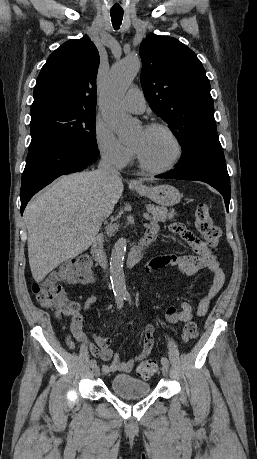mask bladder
Segmentation results:
<instances>
[{"mask_svg":"<svg viewBox=\"0 0 257 459\" xmlns=\"http://www.w3.org/2000/svg\"><path fill=\"white\" fill-rule=\"evenodd\" d=\"M110 390L124 399L142 398L151 393L150 385L129 374H117L110 382Z\"/></svg>","mask_w":257,"mask_h":459,"instance_id":"31cf9c89","label":"bladder"}]
</instances>
